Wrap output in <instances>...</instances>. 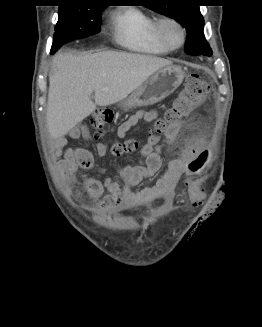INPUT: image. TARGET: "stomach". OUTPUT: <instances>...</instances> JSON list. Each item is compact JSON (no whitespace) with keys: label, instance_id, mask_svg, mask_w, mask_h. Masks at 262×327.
<instances>
[{"label":"stomach","instance_id":"0dacf381","mask_svg":"<svg viewBox=\"0 0 262 327\" xmlns=\"http://www.w3.org/2000/svg\"><path fill=\"white\" fill-rule=\"evenodd\" d=\"M184 79L181 67L168 65L151 75L123 102L125 109L153 105L173 93Z\"/></svg>","mask_w":262,"mask_h":327}]
</instances>
